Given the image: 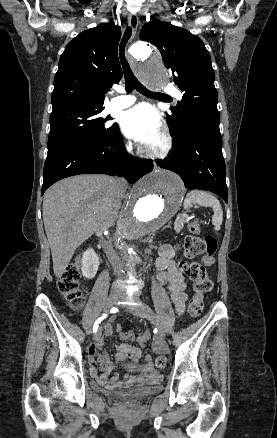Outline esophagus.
I'll list each match as a JSON object with an SVG mask.
<instances>
[{"instance_id":"obj_1","label":"esophagus","mask_w":277,"mask_h":438,"mask_svg":"<svg viewBox=\"0 0 277 438\" xmlns=\"http://www.w3.org/2000/svg\"><path fill=\"white\" fill-rule=\"evenodd\" d=\"M128 23H129V26L132 30V34H131V38H130V42H131L133 40V38L136 36L137 29H138L139 19H138V16L136 13L129 14ZM127 58L129 59L130 62L132 61L128 52H127Z\"/></svg>"}]
</instances>
